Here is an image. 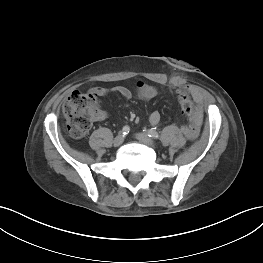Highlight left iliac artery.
I'll list each match as a JSON object with an SVG mask.
<instances>
[{
    "label": "left iliac artery",
    "mask_w": 263,
    "mask_h": 263,
    "mask_svg": "<svg viewBox=\"0 0 263 263\" xmlns=\"http://www.w3.org/2000/svg\"><path fill=\"white\" fill-rule=\"evenodd\" d=\"M147 134H148L149 137H152L154 139H158L159 138L158 132L155 129H153V128L147 130Z\"/></svg>",
    "instance_id": "obj_1"
}]
</instances>
